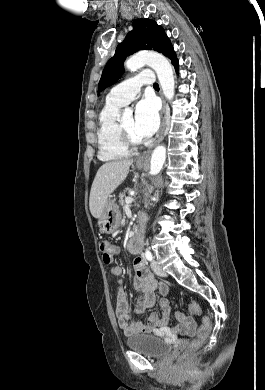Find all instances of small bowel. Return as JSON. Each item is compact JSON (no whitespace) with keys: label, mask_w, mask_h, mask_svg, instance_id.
<instances>
[{"label":"small bowel","mask_w":265,"mask_h":390,"mask_svg":"<svg viewBox=\"0 0 265 390\" xmlns=\"http://www.w3.org/2000/svg\"><path fill=\"white\" fill-rule=\"evenodd\" d=\"M115 255L119 253V248H114ZM135 277L133 280L134 288L137 292V303L134 308L136 314H142L146 310L152 308L155 304V292L158 289L162 295L159 301L160 313H152L149 316L148 322L142 320H131L128 303L126 299L125 286L120 279L116 286V309L115 315L118 321V326L126 335L138 333H153L165 334L169 331L168 324L171 316V303L166 298L169 289L164 282L157 281L152 273L147 269L144 260L141 257H136L134 260ZM111 274L116 277H121L123 269L120 265L111 267ZM178 323L173 327V331L177 334L193 336L196 331V321L193 317L185 315L180 311L174 312Z\"/></svg>","instance_id":"obj_1"}]
</instances>
